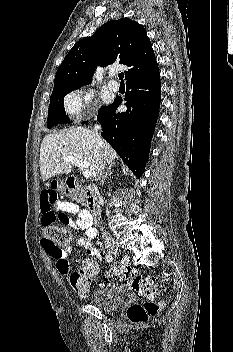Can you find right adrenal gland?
Wrapping results in <instances>:
<instances>
[{"label":"right adrenal gland","mask_w":233,"mask_h":352,"mask_svg":"<svg viewBox=\"0 0 233 352\" xmlns=\"http://www.w3.org/2000/svg\"><path fill=\"white\" fill-rule=\"evenodd\" d=\"M112 174H113L112 165H110V166L108 167V170H107L106 174H105V175L103 176V178H102V181H101V185H102V186L104 185L105 180L107 179V177H108V176H111Z\"/></svg>","instance_id":"obj_1"}]
</instances>
